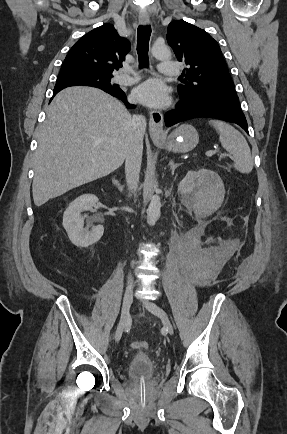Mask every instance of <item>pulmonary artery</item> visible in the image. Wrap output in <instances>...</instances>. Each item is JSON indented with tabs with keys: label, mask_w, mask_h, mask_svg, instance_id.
<instances>
[{
	"label": "pulmonary artery",
	"mask_w": 287,
	"mask_h": 434,
	"mask_svg": "<svg viewBox=\"0 0 287 434\" xmlns=\"http://www.w3.org/2000/svg\"><path fill=\"white\" fill-rule=\"evenodd\" d=\"M130 72V74H129ZM159 72L162 75L166 76H177L180 73V68L175 63H160L159 64ZM138 76L126 69L116 77V81L120 84H131L138 80Z\"/></svg>",
	"instance_id": "e3ab8cb5"
}]
</instances>
